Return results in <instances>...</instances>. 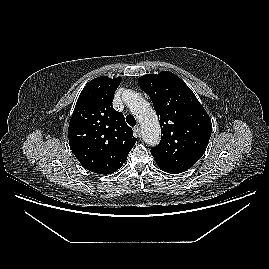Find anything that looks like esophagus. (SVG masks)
<instances>
[{
  "instance_id": "esophagus-1",
  "label": "esophagus",
  "mask_w": 269,
  "mask_h": 269,
  "mask_svg": "<svg viewBox=\"0 0 269 269\" xmlns=\"http://www.w3.org/2000/svg\"><path fill=\"white\" fill-rule=\"evenodd\" d=\"M134 131H135L138 135H140V133H141V128H140V125H139V124L136 125V126L134 127Z\"/></svg>"
}]
</instances>
